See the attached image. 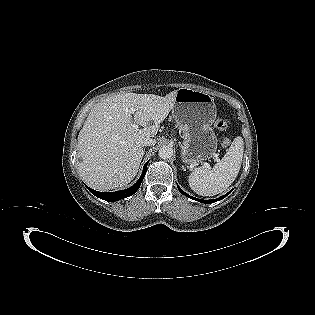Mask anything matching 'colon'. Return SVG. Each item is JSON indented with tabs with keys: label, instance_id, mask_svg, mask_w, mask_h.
Instances as JSON below:
<instances>
[{
	"label": "colon",
	"instance_id": "obj_1",
	"mask_svg": "<svg viewBox=\"0 0 315 315\" xmlns=\"http://www.w3.org/2000/svg\"><path fill=\"white\" fill-rule=\"evenodd\" d=\"M227 127H228V122H227L226 119H224V118H218V119L215 121V128H216L217 130H219V131H224V130L227 129ZM220 144H221L222 147L227 148V147L230 146L231 141H230L229 138L224 137V138L221 139Z\"/></svg>",
	"mask_w": 315,
	"mask_h": 315
}]
</instances>
